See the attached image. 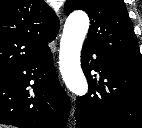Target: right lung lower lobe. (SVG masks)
<instances>
[{"label": "right lung lower lobe", "mask_w": 142, "mask_h": 128, "mask_svg": "<svg viewBox=\"0 0 142 128\" xmlns=\"http://www.w3.org/2000/svg\"><path fill=\"white\" fill-rule=\"evenodd\" d=\"M69 113L49 48L0 77V124L65 128Z\"/></svg>", "instance_id": "98d812e1"}]
</instances>
